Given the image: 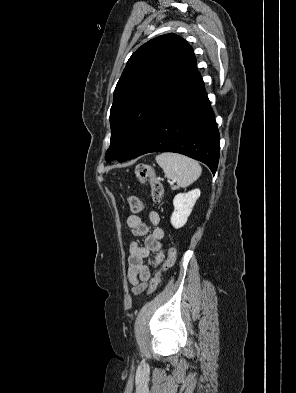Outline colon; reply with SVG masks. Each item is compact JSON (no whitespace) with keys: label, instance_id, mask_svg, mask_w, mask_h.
<instances>
[{"label":"colon","instance_id":"colon-1","mask_svg":"<svg viewBox=\"0 0 296 393\" xmlns=\"http://www.w3.org/2000/svg\"><path fill=\"white\" fill-rule=\"evenodd\" d=\"M136 177L141 183H146L147 181L150 182L152 199L155 203H159L163 197V186L159 178L156 176L153 167L149 164H139L136 167ZM128 204L131 210L136 213L142 212L145 209L144 202L136 196H129ZM175 256V248L170 247L161 270L157 272L150 281V285L148 288L149 295L153 294L157 290L158 286L161 283L163 272H165L173 265L175 261Z\"/></svg>","mask_w":296,"mask_h":393}]
</instances>
